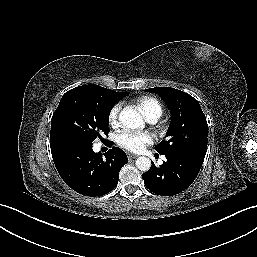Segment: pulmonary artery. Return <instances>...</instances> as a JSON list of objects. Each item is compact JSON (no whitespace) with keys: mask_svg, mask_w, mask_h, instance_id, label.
Masks as SVG:
<instances>
[{"mask_svg":"<svg viewBox=\"0 0 257 257\" xmlns=\"http://www.w3.org/2000/svg\"><path fill=\"white\" fill-rule=\"evenodd\" d=\"M151 123H154L156 122L157 120L156 119H152V120H149Z\"/></svg>","mask_w":257,"mask_h":257,"instance_id":"obj_1","label":"pulmonary artery"}]
</instances>
